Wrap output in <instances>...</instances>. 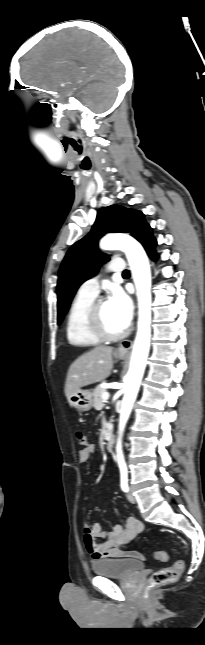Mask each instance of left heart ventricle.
Here are the masks:
<instances>
[{"mask_svg":"<svg viewBox=\"0 0 205 645\" xmlns=\"http://www.w3.org/2000/svg\"><path fill=\"white\" fill-rule=\"evenodd\" d=\"M101 316L106 329L112 333H118L124 329L119 324L114 312L107 301L101 306Z\"/></svg>","mask_w":205,"mask_h":645,"instance_id":"b2bd125f","label":"left heart ventricle"}]
</instances>
